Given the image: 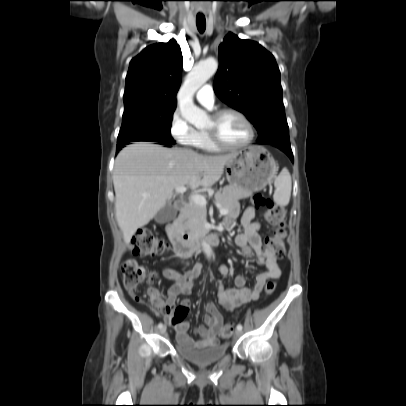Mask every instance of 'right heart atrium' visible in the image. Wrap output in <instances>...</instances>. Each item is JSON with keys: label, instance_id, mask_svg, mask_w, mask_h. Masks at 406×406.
I'll return each mask as SVG.
<instances>
[{"label": "right heart atrium", "instance_id": "1", "mask_svg": "<svg viewBox=\"0 0 406 406\" xmlns=\"http://www.w3.org/2000/svg\"><path fill=\"white\" fill-rule=\"evenodd\" d=\"M170 133L178 143L186 146L195 145L200 136V132L178 110L171 116Z\"/></svg>", "mask_w": 406, "mask_h": 406}]
</instances>
